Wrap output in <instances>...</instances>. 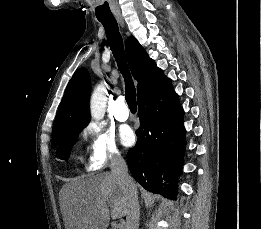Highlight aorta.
Returning a JSON list of instances; mask_svg holds the SVG:
<instances>
[{"instance_id": "1", "label": "aorta", "mask_w": 261, "mask_h": 229, "mask_svg": "<svg viewBox=\"0 0 261 229\" xmlns=\"http://www.w3.org/2000/svg\"><path fill=\"white\" fill-rule=\"evenodd\" d=\"M105 84H97L94 88L91 98H90V112L91 117L94 121H101L104 119L106 106H107V96L105 94Z\"/></svg>"}]
</instances>
